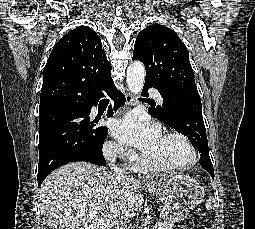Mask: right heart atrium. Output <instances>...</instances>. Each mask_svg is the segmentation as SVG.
I'll use <instances>...</instances> for the list:
<instances>
[{"mask_svg":"<svg viewBox=\"0 0 255 229\" xmlns=\"http://www.w3.org/2000/svg\"><path fill=\"white\" fill-rule=\"evenodd\" d=\"M103 151L105 156L109 158H119L124 161H134L137 158L132 150L126 149L121 144L114 141H107L104 144Z\"/></svg>","mask_w":255,"mask_h":229,"instance_id":"d8ad5b80","label":"right heart atrium"}]
</instances>
